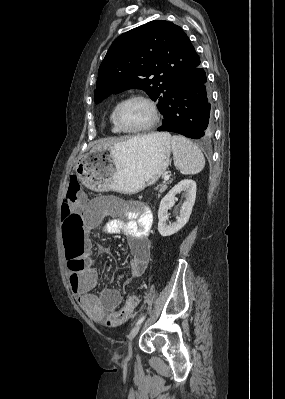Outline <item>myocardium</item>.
Segmentation results:
<instances>
[{"mask_svg":"<svg viewBox=\"0 0 285 399\" xmlns=\"http://www.w3.org/2000/svg\"><path fill=\"white\" fill-rule=\"evenodd\" d=\"M134 100H141V101L147 103L149 105V107L151 108L153 115H152L151 121L149 123H147L146 125H143V126L137 127V128H127L122 124L121 111L127 103L134 101ZM159 120H160V112H159L156 102L152 98H150L146 95H142V94L131 95V96L123 99L118 104L116 111H115V122H116L118 128L125 133H141V132L148 131L151 128H153L159 122Z\"/></svg>","mask_w":285,"mask_h":399,"instance_id":"f54148a6","label":"myocardium"}]
</instances>
